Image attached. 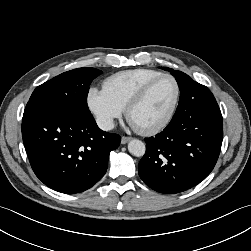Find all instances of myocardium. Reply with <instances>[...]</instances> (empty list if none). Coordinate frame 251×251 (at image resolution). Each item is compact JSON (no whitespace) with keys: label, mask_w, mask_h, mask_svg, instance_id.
<instances>
[{"label":"myocardium","mask_w":251,"mask_h":251,"mask_svg":"<svg viewBox=\"0 0 251 251\" xmlns=\"http://www.w3.org/2000/svg\"><path fill=\"white\" fill-rule=\"evenodd\" d=\"M163 78H169L173 81L175 85V96L173 103L170 107V110L166 114V116L158 123L147 126V127H137L135 126L131 121V113L132 111L144 100L146 95L148 94L149 90L152 88V86L157 83L159 80ZM181 95V88L178 80L169 73H162L148 82H146L139 90L138 92L132 97V99L129 101V103L126 106V118L127 120L141 133L143 134H153L157 133L161 130H163L173 119L175 112L177 110L179 100Z\"/></svg>","instance_id":"f54148a6"}]
</instances>
